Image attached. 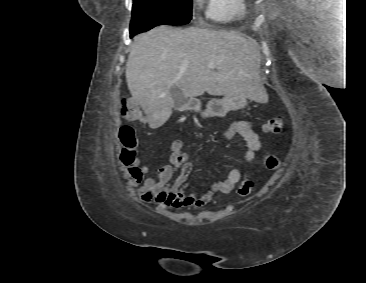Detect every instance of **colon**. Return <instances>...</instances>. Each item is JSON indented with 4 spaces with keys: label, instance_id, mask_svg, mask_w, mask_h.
Returning <instances> with one entry per match:
<instances>
[{
    "label": "colon",
    "instance_id": "colon-1",
    "mask_svg": "<svg viewBox=\"0 0 366 283\" xmlns=\"http://www.w3.org/2000/svg\"><path fill=\"white\" fill-rule=\"evenodd\" d=\"M121 115L129 120L136 121L141 116V111L137 103L132 99H125L120 108ZM284 128V119L282 116H274L270 118L264 124V131L269 134H278ZM119 137L123 143V151L121 153V159L124 163H131L135 160V152L137 148V138L131 127L126 126L121 128ZM264 163L266 168L270 170H277L281 167V161L273 155H266L264 157ZM254 187V182L249 176H244L241 181L238 194L241 197H245L251 194Z\"/></svg>",
    "mask_w": 366,
    "mask_h": 283
}]
</instances>
